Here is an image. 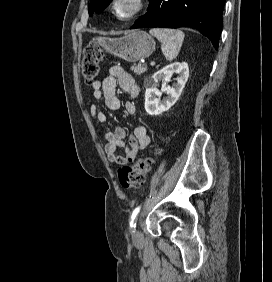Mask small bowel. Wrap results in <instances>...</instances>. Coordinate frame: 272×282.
<instances>
[{
    "mask_svg": "<svg viewBox=\"0 0 272 282\" xmlns=\"http://www.w3.org/2000/svg\"><path fill=\"white\" fill-rule=\"evenodd\" d=\"M117 87L129 97L130 100L126 102L125 110L129 115H133L136 107L132 100L138 97L140 88L135 83L132 75L121 66L110 67L107 75L102 80L93 83V97L97 100L103 99L108 109L117 111L121 106L116 95ZM90 112L98 123H106L105 114L96 105L91 106ZM104 138L107 141L104 149L108 161L119 165L132 162L138 153L148 146L151 140L146 128L137 126L129 139V145L126 147L125 153L120 155L116 150L125 147L126 132L124 128L117 125L113 130H107L104 133Z\"/></svg>",
    "mask_w": 272,
    "mask_h": 282,
    "instance_id": "obj_1",
    "label": "small bowel"
}]
</instances>
